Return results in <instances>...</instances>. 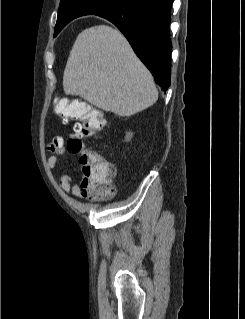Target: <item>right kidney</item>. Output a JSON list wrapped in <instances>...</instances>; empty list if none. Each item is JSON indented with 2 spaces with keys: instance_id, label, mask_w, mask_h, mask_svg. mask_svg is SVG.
<instances>
[{
  "instance_id": "ca27d5eb",
  "label": "right kidney",
  "mask_w": 245,
  "mask_h": 319,
  "mask_svg": "<svg viewBox=\"0 0 245 319\" xmlns=\"http://www.w3.org/2000/svg\"><path fill=\"white\" fill-rule=\"evenodd\" d=\"M132 136H133V133H132V132L126 133L125 141L129 142V141L131 140Z\"/></svg>"
}]
</instances>
